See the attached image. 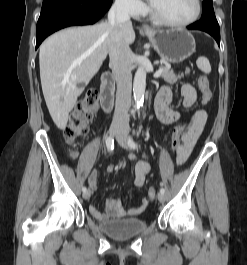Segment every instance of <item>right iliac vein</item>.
Listing matches in <instances>:
<instances>
[{
    "instance_id": "obj_1",
    "label": "right iliac vein",
    "mask_w": 247,
    "mask_h": 265,
    "mask_svg": "<svg viewBox=\"0 0 247 265\" xmlns=\"http://www.w3.org/2000/svg\"><path fill=\"white\" fill-rule=\"evenodd\" d=\"M120 132H121V128L120 127L112 126L109 129V135L111 137L115 136V135H118ZM82 196H83V198L85 200L89 199L90 196H91V191L90 190L85 191Z\"/></svg>"
}]
</instances>
